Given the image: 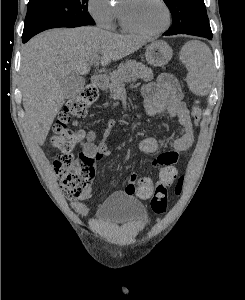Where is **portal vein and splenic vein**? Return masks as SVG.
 I'll use <instances>...</instances> for the list:
<instances>
[{
    "label": "portal vein and splenic vein",
    "mask_w": 245,
    "mask_h": 300,
    "mask_svg": "<svg viewBox=\"0 0 245 300\" xmlns=\"http://www.w3.org/2000/svg\"><path fill=\"white\" fill-rule=\"evenodd\" d=\"M99 56H96V57H94L91 61H90V63H96L98 60H99Z\"/></svg>",
    "instance_id": "obj_1"
}]
</instances>
